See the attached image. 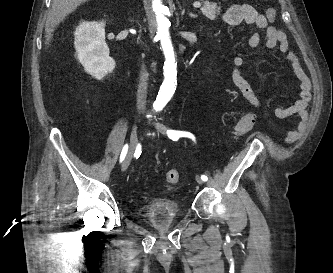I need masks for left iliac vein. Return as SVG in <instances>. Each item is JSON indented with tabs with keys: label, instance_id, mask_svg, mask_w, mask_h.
I'll return each instance as SVG.
<instances>
[{
	"label": "left iliac vein",
	"instance_id": "1",
	"mask_svg": "<svg viewBox=\"0 0 333 273\" xmlns=\"http://www.w3.org/2000/svg\"><path fill=\"white\" fill-rule=\"evenodd\" d=\"M153 126L159 131V132H161L162 134H166V131H167V128H166V126L165 125H163L162 123H160V122H153ZM196 181H197V183H199L200 185H202L203 183H204V181L200 178V177H198V176H196Z\"/></svg>",
	"mask_w": 333,
	"mask_h": 273
}]
</instances>
